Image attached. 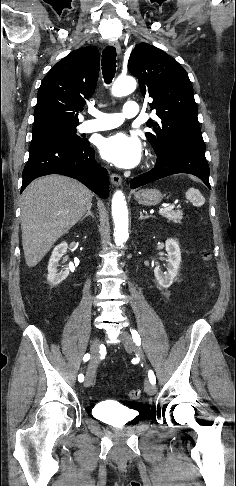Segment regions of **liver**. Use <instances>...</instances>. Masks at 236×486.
<instances>
[{"instance_id": "6515ba94", "label": "liver", "mask_w": 236, "mask_h": 486, "mask_svg": "<svg viewBox=\"0 0 236 486\" xmlns=\"http://www.w3.org/2000/svg\"><path fill=\"white\" fill-rule=\"evenodd\" d=\"M93 193L61 175L34 180L22 194L21 230L26 264L36 266L92 206Z\"/></svg>"}]
</instances>
